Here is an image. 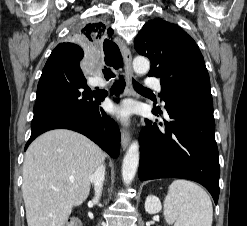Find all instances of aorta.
I'll use <instances>...</instances> for the list:
<instances>
[{"label":"aorta","mask_w":247,"mask_h":226,"mask_svg":"<svg viewBox=\"0 0 247 226\" xmlns=\"http://www.w3.org/2000/svg\"><path fill=\"white\" fill-rule=\"evenodd\" d=\"M133 69L136 74L144 75L150 69V62L146 57L137 56L133 60ZM139 164V145L132 142L127 150L122 164V178L125 185H129L135 177Z\"/></svg>","instance_id":"aorta-1"}]
</instances>
